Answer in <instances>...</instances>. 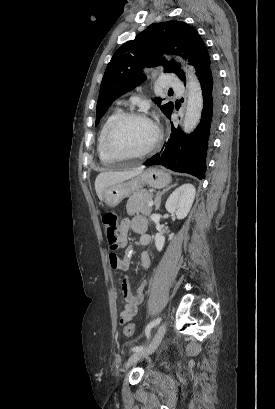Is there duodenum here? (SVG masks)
I'll use <instances>...</instances> for the list:
<instances>
[{
    "instance_id": "obj_1",
    "label": "duodenum",
    "mask_w": 275,
    "mask_h": 409,
    "mask_svg": "<svg viewBox=\"0 0 275 409\" xmlns=\"http://www.w3.org/2000/svg\"><path fill=\"white\" fill-rule=\"evenodd\" d=\"M145 228H146L145 225H140V226L138 227V231H139V232H144V231H145Z\"/></svg>"
}]
</instances>
